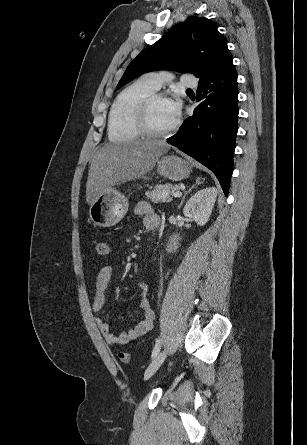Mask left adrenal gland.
I'll return each instance as SVG.
<instances>
[{
  "instance_id": "1",
  "label": "left adrenal gland",
  "mask_w": 307,
  "mask_h": 445,
  "mask_svg": "<svg viewBox=\"0 0 307 445\" xmlns=\"http://www.w3.org/2000/svg\"><path fill=\"white\" fill-rule=\"evenodd\" d=\"M196 184H201V182H200V178H197L195 184H193V186H191V188H194V186H196ZM191 188H189V190H186V192H184V194H183V196H182V200H181V202H180L178 208H180V206H182V204H183V202H184V200H185V196H186V194H188V192H190Z\"/></svg>"
}]
</instances>
